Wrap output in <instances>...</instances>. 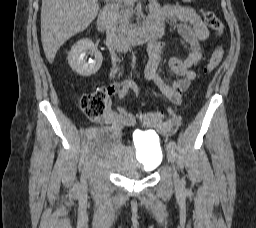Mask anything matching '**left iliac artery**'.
<instances>
[{"instance_id": "obj_1", "label": "left iliac artery", "mask_w": 256, "mask_h": 228, "mask_svg": "<svg viewBox=\"0 0 256 228\" xmlns=\"http://www.w3.org/2000/svg\"><path fill=\"white\" fill-rule=\"evenodd\" d=\"M169 145H171V146L174 147V148L177 147L175 141H173V140H170V141H169Z\"/></svg>"}]
</instances>
